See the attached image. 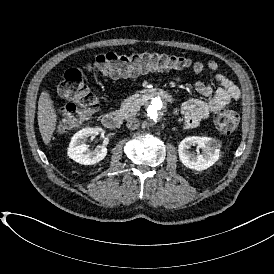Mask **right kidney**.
I'll use <instances>...</instances> for the list:
<instances>
[{"mask_svg":"<svg viewBox=\"0 0 274 274\" xmlns=\"http://www.w3.org/2000/svg\"><path fill=\"white\" fill-rule=\"evenodd\" d=\"M92 135H100V129L85 127L76 132L67 150L68 157L81 165H94L101 162L107 155V149L105 146H97L95 150H91L86 141Z\"/></svg>","mask_w":274,"mask_h":274,"instance_id":"obj_1","label":"right kidney"}]
</instances>
